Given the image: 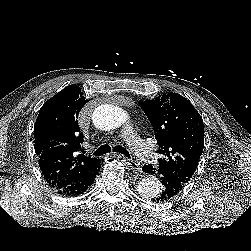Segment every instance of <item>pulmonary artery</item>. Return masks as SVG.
Returning a JSON list of instances; mask_svg holds the SVG:
<instances>
[{"label":"pulmonary artery","mask_w":251,"mask_h":251,"mask_svg":"<svg viewBox=\"0 0 251 251\" xmlns=\"http://www.w3.org/2000/svg\"><path fill=\"white\" fill-rule=\"evenodd\" d=\"M122 137L131 147L132 151L139 157L145 160L154 159L155 155L152 152V148L147 141L139 138L131 129H126L122 132Z\"/></svg>","instance_id":"1"}]
</instances>
